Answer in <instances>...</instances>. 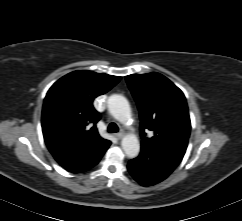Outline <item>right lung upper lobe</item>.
<instances>
[{"instance_id": "1", "label": "right lung upper lobe", "mask_w": 242, "mask_h": 221, "mask_svg": "<svg viewBox=\"0 0 242 221\" xmlns=\"http://www.w3.org/2000/svg\"><path fill=\"white\" fill-rule=\"evenodd\" d=\"M119 76L74 71L49 89L43 104L42 130L55 160L66 170L84 172L101 159L111 142L101 138L100 114L93 100L115 86Z\"/></svg>"}]
</instances>
